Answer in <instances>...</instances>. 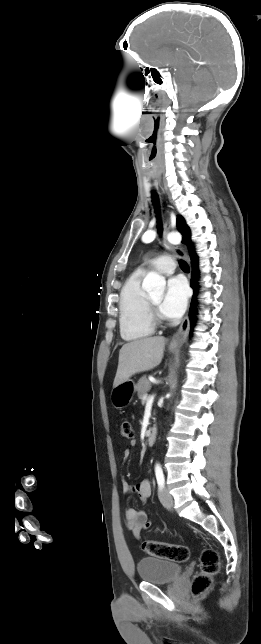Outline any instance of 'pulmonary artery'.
Wrapping results in <instances>:
<instances>
[{"instance_id": "pulmonary-artery-1", "label": "pulmonary artery", "mask_w": 261, "mask_h": 644, "mask_svg": "<svg viewBox=\"0 0 261 644\" xmlns=\"http://www.w3.org/2000/svg\"><path fill=\"white\" fill-rule=\"evenodd\" d=\"M149 267H153L160 272L163 273H169L174 270L175 268V262L174 260L167 255H160L154 259H152L149 264Z\"/></svg>"}]
</instances>
